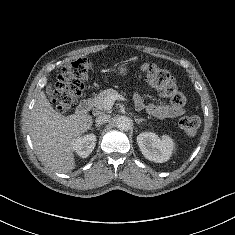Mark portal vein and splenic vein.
Returning a JSON list of instances; mask_svg holds the SVG:
<instances>
[{
  "mask_svg": "<svg viewBox=\"0 0 235 235\" xmlns=\"http://www.w3.org/2000/svg\"><path fill=\"white\" fill-rule=\"evenodd\" d=\"M115 100H123L126 101L127 99L124 98L121 95H115V96H109L105 99L104 101V109L105 110H110L112 108V106L114 105Z\"/></svg>",
  "mask_w": 235,
  "mask_h": 235,
  "instance_id": "18ae733b",
  "label": "portal vein and splenic vein"
}]
</instances>
